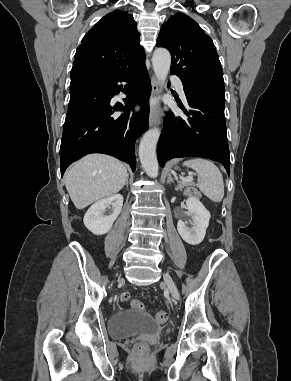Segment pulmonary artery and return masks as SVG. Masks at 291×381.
Segmentation results:
<instances>
[{
    "label": "pulmonary artery",
    "mask_w": 291,
    "mask_h": 381,
    "mask_svg": "<svg viewBox=\"0 0 291 381\" xmlns=\"http://www.w3.org/2000/svg\"><path fill=\"white\" fill-rule=\"evenodd\" d=\"M171 80L175 83L177 86V89L181 95H184V89H183V84L182 81L176 77V76H171Z\"/></svg>",
    "instance_id": "pulmonary-artery-1"
}]
</instances>
